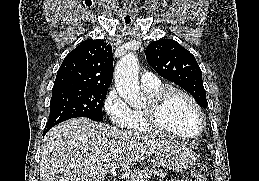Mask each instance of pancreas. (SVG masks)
<instances>
[{"mask_svg":"<svg viewBox=\"0 0 259 181\" xmlns=\"http://www.w3.org/2000/svg\"><path fill=\"white\" fill-rule=\"evenodd\" d=\"M166 173L162 170H155L150 168L137 169L131 173L130 178L127 181H147L150 178H164Z\"/></svg>","mask_w":259,"mask_h":181,"instance_id":"cf45deb5","label":"pancreas"}]
</instances>
